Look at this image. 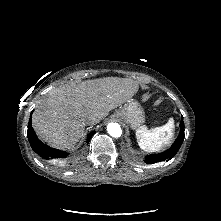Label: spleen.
I'll return each instance as SVG.
<instances>
[{
    "label": "spleen",
    "instance_id": "3e777b00",
    "mask_svg": "<svg viewBox=\"0 0 221 221\" xmlns=\"http://www.w3.org/2000/svg\"><path fill=\"white\" fill-rule=\"evenodd\" d=\"M173 131V118H170L165 125L150 130L146 126H143L136 132L138 145L146 152H157L164 145L170 143L173 137Z\"/></svg>",
    "mask_w": 221,
    "mask_h": 221
}]
</instances>
